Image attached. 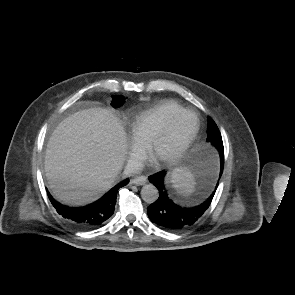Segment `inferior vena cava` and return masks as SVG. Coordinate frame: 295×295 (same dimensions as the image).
Returning <instances> with one entry per match:
<instances>
[{
  "label": "inferior vena cava",
  "mask_w": 295,
  "mask_h": 295,
  "mask_svg": "<svg viewBox=\"0 0 295 295\" xmlns=\"http://www.w3.org/2000/svg\"><path fill=\"white\" fill-rule=\"evenodd\" d=\"M142 170V164L141 162L137 160H129L125 169L124 174L126 176H130L132 174H137Z\"/></svg>",
  "instance_id": "602c4592"
}]
</instances>
